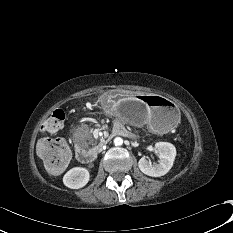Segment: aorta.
<instances>
[{"mask_svg": "<svg viewBox=\"0 0 233 233\" xmlns=\"http://www.w3.org/2000/svg\"><path fill=\"white\" fill-rule=\"evenodd\" d=\"M114 144H115L116 146H121V145L123 144V139H122L121 137H116V138L114 139Z\"/></svg>", "mask_w": 233, "mask_h": 233, "instance_id": "1", "label": "aorta"}]
</instances>
